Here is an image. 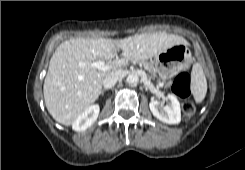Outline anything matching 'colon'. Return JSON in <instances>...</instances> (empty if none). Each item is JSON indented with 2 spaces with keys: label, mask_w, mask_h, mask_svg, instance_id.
<instances>
[{
  "label": "colon",
  "mask_w": 245,
  "mask_h": 170,
  "mask_svg": "<svg viewBox=\"0 0 245 170\" xmlns=\"http://www.w3.org/2000/svg\"><path fill=\"white\" fill-rule=\"evenodd\" d=\"M172 92L183 99L182 112L185 118H190L195 112V106L192 101H190V76L187 72H181L175 78L172 84Z\"/></svg>",
  "instance_id": "obj_1"
}]
</instances>
